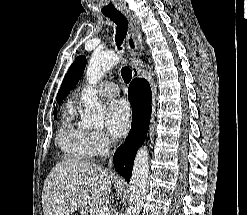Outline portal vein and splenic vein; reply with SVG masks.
<instances>
[{
	"mask_svg": "<svg viewBox=\"0 0 247 215\" xmlns=\"http://www.w3.org/2000/svg\"><path fill=\"white\" fill-rule=\"evenodd\" d=\"M96 215H110V209L109 208H100L96 211Z\"/></svg>",
	"mask_w": 247,
	"mask_h": 215,
	"instance_id": "1",
	"label": "portal vein and splenic vein"
}]
</instances>
